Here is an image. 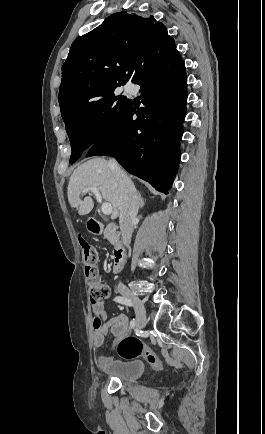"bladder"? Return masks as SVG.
<instances>
[{"label": "bladder", "instance_id": "31cf9c89", "mask_svg": "<svg viewBox=\"0 0 265 434\" xmlns=\"http://www.w3.org/2000/svg\"><path fill=\"white\" fill-rule=\"evenodd\" d=\"M146 371V365L136 359L116 362L109 368V373L125 382L138 380Z\"/></svg>", "mask_w": 265, "mask_h": 434}]
</instances>
